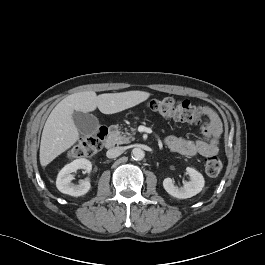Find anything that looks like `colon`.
Here are the masks:
<instances>
[{"mask_svg":"<svg viewBox=\"0 0 265 265\" xmlns=\"http://www.w3.org/2000/svg\"><path fill=\"white\" fill-rule=\"evenodd\" d=\"M150 109L167 118H173L182 122L199 124L205 117L201 106L192 104L189 101H177L173 98L153 99L149 103ZM108 134L106 127H100L96 133L90 137L82 139L73 148L70 153L73 157L81 158L95 154L101 147L103 140ZM206 173L215 177L222 170V161L216 154L210 155L205 161Z\"/></svg>","mask_w":265,"mask_h":265,"instance_id":"1","label":"colon"}]
</instances>
